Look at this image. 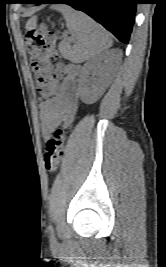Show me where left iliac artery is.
<instances>
[{"instance_id":"left-iliac-artery-1","label":"left iliac artery","mask_w":166,"mask_h":267,"mask_svg":"<svg viewBox=\"0 0 166 267\" xmlns=\"http://www.w3.org/2000/svg\"><path fill=\"white\" fill-rule=\"evenodd\" d=\"M49 232H50L51 236L53 237L54 230H53V227L52 226H49Z\"/></svg>"}]
</instances>
